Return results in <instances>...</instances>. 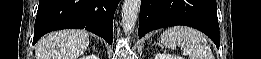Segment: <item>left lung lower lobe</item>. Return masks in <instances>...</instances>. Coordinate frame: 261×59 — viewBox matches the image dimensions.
<instances>
[{
	"label": "left lung lower lobe",
	"instance_id": "0a47b994",
	"mask_svg": "<svg viewBox=\"0 0 261 59\" xmlns=\"http://www.w3.org/2000/svg\"><path fill=\"white\" fill-rule=\"evenodd\" d=\"M186 25L204 32L219 48L216 0H142L139 38L151 30Z\"/></svg>",
	"mask_w": 261,
	"mask_h": 59
}]
</instances>
